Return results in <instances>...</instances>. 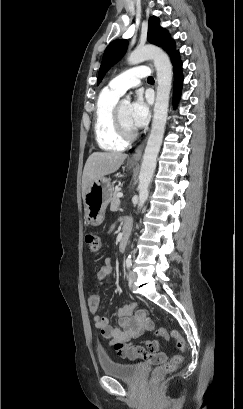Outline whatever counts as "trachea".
<instances>
[{"instance_id": "1", "label": "trachea", "mask_w": 243, "mask_h": 409, "mask_svg": "<svg viewBox=\"0 0 243 409\" xmlns=\"http://www.w3.org/2000/svg\"><path fill=\"white\" fill-rule=\"evenodd\" d=\"M147 80H148V81H154V78L151 77V76H149Z\"/></svg>"}]
</instances>
